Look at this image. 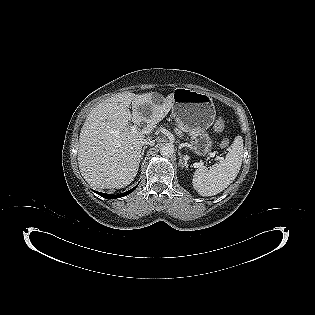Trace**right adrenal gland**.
<instances>
[{
  "mask_svg": "<svg viewBox=\"0 0 315 315\" xmlns=\"http://www.w3.org/2000/svg\"><path fill=\"white\" fill-rule=\"evenodd\" d=\"M147 148V146H144L143 149H142V153H141V160L143 159V155H144V152H145V149Z\"/></svg>",
  "mask_w": 315,
  "mask_h": 315,
  "instance_id": "1",
  "label": "right adrenal gland"
}]
</instances>
